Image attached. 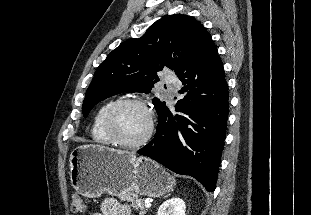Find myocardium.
Instances as JSON below:
<instances>
[{"mask_svg": "<svg viewBox=\"0 0 311 215\" xmlns=\"http://www.w3.org/2000/svg\"><path fill=\"white\" fill-rule=\"evenodd\" d=\"M140 106L147 112L148 129L146 134L138 141L128 142L122 139L116 128V118L118 113L126 106ZM104 129L113 143L129 149H137L144 146L152 137L154 131L153 113L147 102L141 98H125L115 102L106 112L104 117Z\"/></svg>", "mask_w": 311, "mask_h": 215, "instance_id": "f54148a6", "label": "myocardium"}]
</instances>
